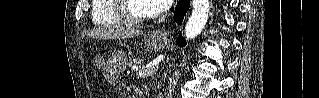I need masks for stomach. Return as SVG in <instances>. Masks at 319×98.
I'll use <instances>...</instances> for the list:
<instances>
[{
  "instance_id": "stomach-1",
  "label": "stomach",
  "mask_w": 319,
  "mask_h": 98,
  "mask_svg": "<svg viewBox=\"0 0 319 98\" xmlns=\"http://www.w3.org/2000/svg\"><path fill=\"white\" fill-rule=\"evenodd\" d=\"M167 46V41L155 34L148 35L145 40V47L149 50L160 51ZM126 56L120 53L119 63L113 64L112 67L106 68L104 71V77L110 84H116L119 81V74L121 69L125 66Z\"/></svg>"
}]
</instances>
